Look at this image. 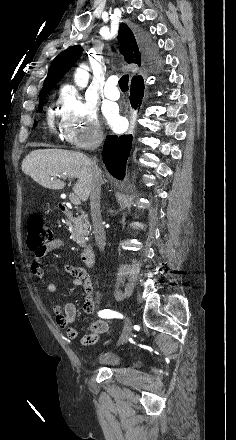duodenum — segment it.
<instances>
[{
    "mask_svg": "<svg viewBox=\"0 0 236 440\" xmlns=\"http://www.w3.org/2000/svg\"><path fill=\"white\" fill-rule=\"evenodd\" d=\"M59 208L65 216L67 217L73 216V211L64 202L59 203ZM94 259H95L94 249L90 244H88L81 253V261L86 267H92L94 264Z\"/></svg>",
    "mask_w": 236,
    "mask_h": 440,
    "instance_id": "duodenum-1",
    "label": "duodenum"
}]
</instances>
